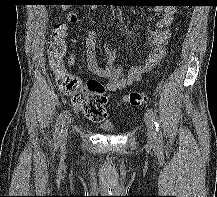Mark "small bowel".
<instances>
[{
    "label": "small bowel",
    "mask_w": 217,
    "mask_h": 197,
    "mask_svg": "<svg viewBox=\"0 0 217 197\" xmlns=\"http://www.w3.org/2000/svg\"><path fill=\"white\" fill-rule=\"evenodd\" d=\"M162 13L161 19L156 24V29L149 32L150 51L144 66L133 67L127 77L124 76V68L116 65L117 52L110 47H104V67L100 66L96 56L97 35L93 30L88 31L86 38V60L89 69L99 78L108 80L107 89L111 92L124 90L139 81L141 77L152 70L164 56V44L171 34V26L175 14L172 5H157L154 8ZM66 19L75 23L78 16L75 12L67 11Z\"/></svg>",
    "instance_id": "1"
}]
</instances>
